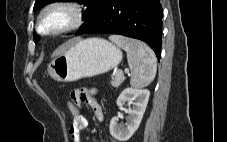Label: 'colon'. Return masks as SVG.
<instances>
[{
  "mask_svg": "<svg viewBox=\"0 0 227 142\" xmlns=\"http://www.w3.org/2000/svg\"><path fill=\"white\" fill-rule=\"evenodd\" d=\"M67 107H68L70 114L73 117V121L79 120L82 118L83 114H82L80 108L74 102L69 101L67 103Z\"/></svg>",
  "mask_w": 227,
  "mask_h": 142,
  "instance_id": "1",
  "label": "colon"
}]
</instances>
